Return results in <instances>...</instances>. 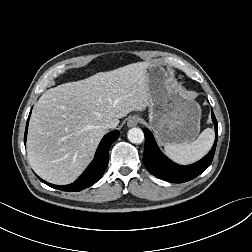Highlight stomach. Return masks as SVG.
<instances>
[{"label":"stomach","mask_w":252,"mask_h":252,"mask_svg":"<svg viewBox=\"0 0 252 252\" xmlns=\"http://www.w3.org/2000/svg\"><path fill=\"white\" fill-rule=\"evenodd\" d=\"M150 95L149 125L160 144L193 141L200 131L201 108L178 90L168 72L157 65L146 71Z\"/></svg>","instance_id":"1"}]
</instances>
